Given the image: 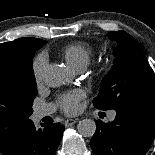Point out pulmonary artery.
Listing matches in <instances>:
<instances>
[{
	"label": "pulmonary artery",
	"mask_w": 155,
	"mask_h": 155,
	"mask_svg": "<svg viewBox=\"0 0 155 155\" xmlns=\"http://www.w3.org/2000/svg\"><path fill=\"white\" fill-rule=\"evenodd\" d=\"M76 71L80 73L83 70L80 69V70H76ZM53 112H54V107L51 104L42 105V106L35 109L34 118L36 120H40L45 116L51 115ZM115 115H116V113L112 112L110 114V119H114Z\"/></svg>",
	"instance_id": "e3ab8cb5"
}]
</instances>
